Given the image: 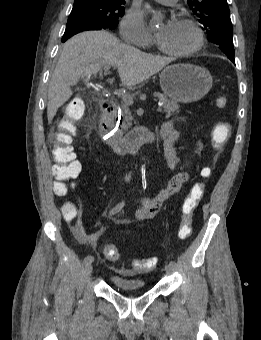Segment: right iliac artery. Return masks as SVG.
Wrapping results in <instances>:
<instances>
[{
	"mask_svg": "<svg viewBox=\"0 0 261 340\" xmlns=\"http://www.w3.org/2000/svg\"><path fill=\"white\" fill-rule=\"evenodd\" d=\"M124 204H125L124 201L117 204L113 209L110 210V215H113L119 212L123 208ZM93 261H94V257L92 255H88L84 259L85 264L92 263Z\"/></svg>",
	"mask_w": 261,
	"mask_h": 340,
	"instance_id": "obj_1",
	"label": "right iliac artery"
}]
</instances>
